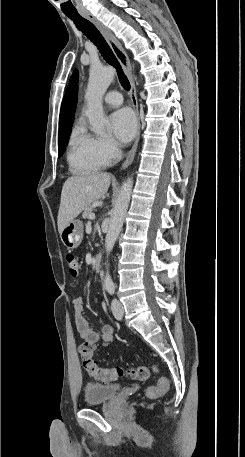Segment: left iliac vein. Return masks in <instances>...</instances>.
<instances>
[{"label":"left iliac vein","instance_id":"4c4485c4","mask_svg":"<svg viewBox=\"0 0 245 457\" xmlns=\"http://www.w3.org/2000/svg\"><path fill=\"white\" fill-rule=\"evenodd\" d=\"M112 312L117 320H120L124 314L123 305L117 299L112 300Z\"/></svg>","mask_w":245,"mask_h":457}]
</instances>
